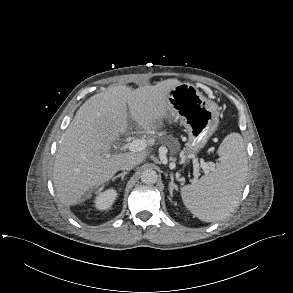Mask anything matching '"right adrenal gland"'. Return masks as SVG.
<instances>
[{"mask_svg": "<svg viewBox=\"0 0 293 293\" xmlns=\"http://www.w3.org/2000/svg\"><path fill=\"white\" fill-rule=\"evenodd\" d=\"M125 175H127V172H123L121 174H118L117 176L113 177L112 180L115 181L117 178L121 177V180H124Z\"/></svg>", "mask_w": 293, "mask_h": 293, "instance_id": "right-adrenal-gland-1", "label": "right adrenal gland"}]
</instances>
